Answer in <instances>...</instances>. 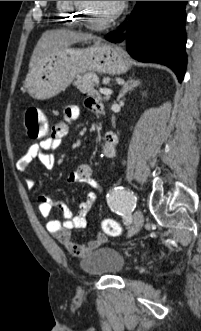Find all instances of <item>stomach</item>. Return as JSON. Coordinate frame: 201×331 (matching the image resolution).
Returning a JSON list of instances; mask_svg holds the SVG:
<instances>
[{
	"mask_svg": "<svg viewBox=\"0 0 201 331\" xmlns=\"http://www.w3.org/2000/svg\"><path fill=\"white\" fill-rule=\"evenodd\" d=\"M130 66L122 49L98 41L87 48L65 47L44 58L29 71L25 84L33 98L44 100L65 90L86 72L116 75L125 73Z\"/></svg>",
	"mask_w": 201,
	"mask_h": 331,
	"instance_id": "stomach-1",
	"label": "stomach"
}]
</instances>
